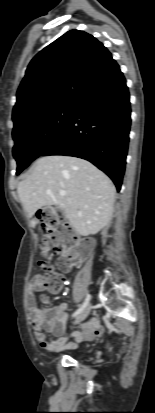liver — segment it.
Here are the masks:
<instances>
[{"instance_id":"1","label":"liver","mask_w":155,"mask_h":413,"mask_svg":"<svg viewBox=\"0 0 155 413\" xmlns=\"http://www.w3.org/2000/svg\"><path fill=\"white\" fill-rule=\"evenodd\" d=\"M61 190L66 195L61 196ZM17 192L29 218L44 206L56 205L78 234L88 236L110 222L116 190L108 176L90 162L51 155L34 163Z\"/></svg>"}]
</instances>
